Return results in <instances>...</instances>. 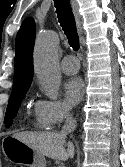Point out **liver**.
<instances>
[{
	"label": "liver",
	"mask_w": 125,
	"mask_h": 167,
	"mask_svg": "<svg viewBox=\"0 0 125 167\" xmlns=\"http://www.w3.org/2000/svg\"><path fill=\"white\" fill-rule=\"evenodd\" d=\"M13 137L54 160L65 161L74 155L73 144L69 142L65 149V135L61 133L18 132Z\"/></svg>",
	"instance_id": "1"
}]
</instances>
